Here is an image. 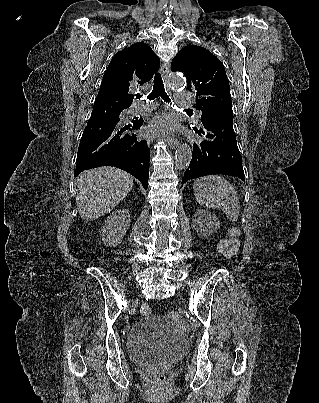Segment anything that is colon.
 Instances as JSON below:
<instances>
[{
    "instance_id": "5ec220e1",
    "label": "colon",
    "mask_w": 319,
    "mask_h": 403,
    "mask_svg": "<svg viewBox=\"0 0 319 403\" xmlns=\"http://www.w3.org/2000/svg\"><path fill=\"white\" fill-rule=\"evenodd\" d=\"M238 246V240L235 237H230L220 243L219 249L224 256L231 257L237 252ZM140 312L143 316H149L152 314V309L147 304H143L140 308ZM155 376L160 382H163L165 379V375L160 371H157Z\"/></svg>"
}]
</instances>
